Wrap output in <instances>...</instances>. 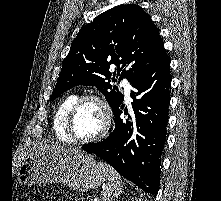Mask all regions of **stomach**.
<instances>
[{
    "mask_svg": "<svg viewBox=\"0 0 221 201\" xmlns=\"http://www.w3.org/2000/svg\"><path fill=\"white\" fill-rule=\"evenodd\" d=\"M105 178L100 163L80 150L64 153L39 149L29 154L18 170L20 184L62 183L79 192L98 188Z\"/></svg>",
    "mask_w": 221,
    "mask_h": 201,
    "instance_id": "stomach-1",
    "label": "stomach"
}]
</instances>
